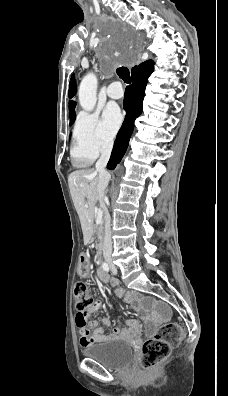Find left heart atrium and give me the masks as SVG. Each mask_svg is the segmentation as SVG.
<instances>
[{
  "mask_svg": "<svg viewBox=\"0 0 228 396\" xmlns=\"http://www.w3.org/2000/svg\"><path fill=\"white\" fill-rule=\"evenodd\" d=\"M123 120L122 113L116 105H108L103 112L105 128L111 135H115Z\"/></svg>",
  "mask_w": 228,
  "mask_h": 396,
  "instance_id": "39dd6f15",
  "label": "left heart atrium"
}]
</instances>
